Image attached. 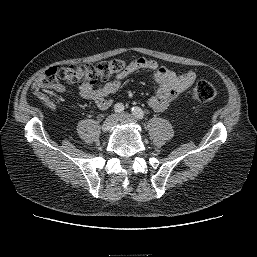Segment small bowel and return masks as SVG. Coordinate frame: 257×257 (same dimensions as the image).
Instances as JSON below:
<instances>
[{
    "instance_id": "c3829d8e",
    "label": "small bowel",
    "mask_w": 257,
    "mask_h": 257,
    "mask_svg": "<svg viewBox=\"0 0 257 257\" xmlns=\"http://www.w3.org/2000/svg\"><path fill=\"white\" fill-rule=\"evenodd\" d=\"M138 70L151 71L150 79L157 86L156 92L149 98L148 105L156 112L166 110L196 79L193 71L176 72L166 66H161L150 58L133 60L126 70L115 79L97 84L96 86L82 85L77 95L83 99L93 101L100 109H107L113 102V95L119 89L121 81ZM57 93H65L67 88L58 84Z\"/></svg>"
}]
</instances>
